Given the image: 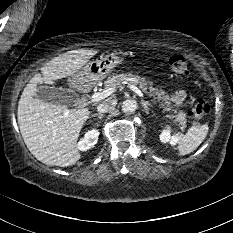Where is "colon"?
Masks as SVG:
<instances>
[{
    "label": "colon",
    "instance_id": "1",
    "mask_svg": "<svg viewBox=\"0 0 233 233\" xmlns=\"http://www.w3.org/2000/svg\"><path fill=\"white\" fill-rule=\"evenodd\" d=\"M168 64L176 74H186L187 63L181 55H172L168 59ZM207 112L206 103L203 99H196L190 102L188 114L196 119H200Z\"/></svg>",
    "mask_w": 233,
    "mask_h": 233
}]
</instances>
